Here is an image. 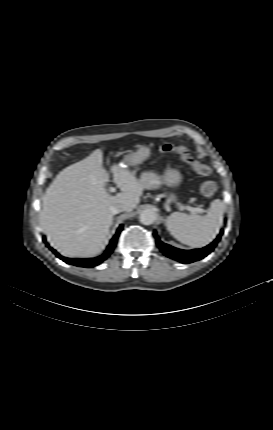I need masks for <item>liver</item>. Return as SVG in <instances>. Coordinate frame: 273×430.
Wrapping results in <instances>:
<instances>
[{
	"label": "liver",
	"instance_id": "1",
	"mask_svg": "<svg viewBox=\"0 0 273 430\" xmlns=\"http://www.w3.org/2000/svg\"><path fill=\"white\" fill-rule=\"evenodd\" d=\"M113 179L122 192L110 195L105 185L109 176L103 167L101 149L63 169L49 186L40 214L47 241L67 257H91L104 248L113 222L110 207L136 208L143 187L134 173L114 165Z\"/></svg>",
	"mask_w": 273,
	"mask_h": 430
}]
</instances>
